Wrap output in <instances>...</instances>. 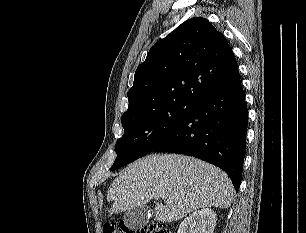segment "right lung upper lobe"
I'll return each mask as SVG.
<instances>
[{"label": "right lung upper lobe", "mask_w": 306, "mask_h": 233, "mask_svg": "<svg viewBox=\"0 0 306 233\" xmlns=\"http://www.w3.org/2000/svg\"><path fill=\"white\" fill-rule=\"evenodd\" d=\"M239 79L224 35L207 19L191 18L150 49L135 72L125 113L164 99L199 104Z\"/></svg>", "instance_id": "1"}]
</instances>
